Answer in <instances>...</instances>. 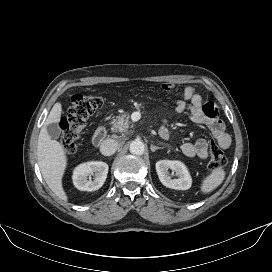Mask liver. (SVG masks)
<instances>
[{
	"label": "liver",
	"mask_w": 272,
	"mask_h": 272,
	"mask_svg": "<svg viewBox=\"0 0 272 272\" xmlns=\"http://www.w3.org/2000/svg\"><path fill=\"white\" fill-rule=\"evenodd\" d=\"M62 105L57 102L52 107L42 126L37 144V158L42 176L52 192L61 200L68 201L62 185V178L67 166V155L62 144L52 140L47 132V125L60 121Z\"/></svg>",
	"instance_id": "1"
}]
</instances>
